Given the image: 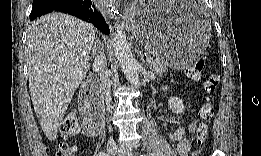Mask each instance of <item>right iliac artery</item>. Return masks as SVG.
<instances>
[{
    "instance_id": "obj_1",
    "label": "right iliac artery",
    "mask_w": 261,
    "mask_h": 156,
    "mask_svg": "<svg viewBox=\"0 0 261 156\" xmlns=\"http://www.w3.org/2000/svg\"><path fill=\"white\" fill-rule=\"evenodd\" d=\"M105 155H106L105 152H100V153H99V156H105Z\"/></svg>"
}]
</instances>
